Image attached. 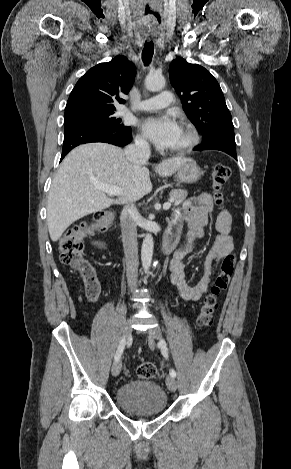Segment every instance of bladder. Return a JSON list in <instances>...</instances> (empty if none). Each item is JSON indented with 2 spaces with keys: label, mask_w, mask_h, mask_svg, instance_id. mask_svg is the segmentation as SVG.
Wrapping results in <instances>:
<instances>
[{
  "label": "bladder",
  "mask_w": 291,
  "mask_h": 469,
  "mask_svg": "<svg viewBox=\"0 0 291 469\" xmlns=\"http://www.w3.org/2000/svg\"><path fill=\"white\" fill-rule=\"evenodd\" d=\"M118 406L135 415H157L165 411L168 398L164 390L150 380H131L116 393Z\"/></svg>",
  "instance_id": "1"
}]
</instances>
